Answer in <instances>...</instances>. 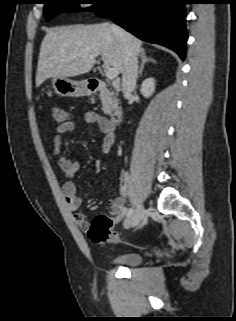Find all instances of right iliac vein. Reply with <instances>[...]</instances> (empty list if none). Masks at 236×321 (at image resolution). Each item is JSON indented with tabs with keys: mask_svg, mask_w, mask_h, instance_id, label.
<instances>
[{
	"mask_svg": "<svg viewBox=\"0 0 236 321\" xmlns=\"http://www.w3.org/2000/svg\"><path fill=\"white\" fill-rule=\"evenodd\" d=\"M145 210L141 203H138L135 211L128 217L125 222L126 227H136L143 219Z\"/></svg>",
	"mask_w": 236,
	"mask_h": 321,
	"instance_id": "1",
	"label": "right iliac vein"
}]
</instances>
